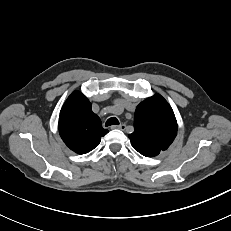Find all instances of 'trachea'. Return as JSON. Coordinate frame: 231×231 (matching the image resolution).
I'll list each match as a JSON object with an SVG mask.
<instances>
[{"label":"trachea","mask_w":231,"mask_h":231,"mask_svg":"<svg viewBox=\"0 0 231 231\" xmlns=\"http://www.w3.org/2000/svg\"><path fill=\"white\" fill-rule=\"evenodd\" d=\"M111 125H119L118 119L115 118V117L109 118V119L106 121L105 126H111Z\"/></svg>","instance_id":"1"}]
</instances>
